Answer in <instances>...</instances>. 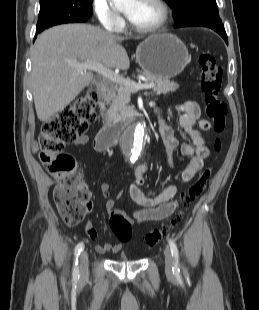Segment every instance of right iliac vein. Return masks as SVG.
Returning a JSON list of instances; mask_svg holds the SVG:
<instances>
[{"mask_svg": "<svg viewBox=\"0 0 259 310\" xmlns=\"http://www.w3.org/2000/svg\"><path fill=\"white\" fill-rule=\"evenodd\" d=\"M88 254L86 251H83L80 256V279L85 280L88 277Z\"/></svg>", "mask_w": 259, "mask_h": 310, "instance_id": "63e3f726", "label": "right iliac vein"}]
</instances>
